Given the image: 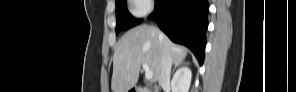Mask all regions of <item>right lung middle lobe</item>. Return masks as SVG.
I'll use <instances>...</instances> for the list:
<instances>
[{"label": "right lung middle lobe", "instance_id": "obj_1", "mask_svg": "<svg viewBox=\"0 0 296 92\" xmlns=\"http://www.w3.org/2000/svg\"><path fill=\"white\" fill-rule=\"evenodd\" d=\"M127 0L116 1V34L122 30H127L134 25L140 23V20L135 19L127 10ZM157 0H155L156 4Z\"/></svg>", "mask_w": 296, "mask_h": 92}]
</instances>
